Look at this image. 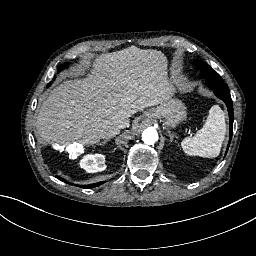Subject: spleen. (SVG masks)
I'll return each mask as SVG.
<instances>
[{
  "label": "spleen",
  "mask_w": 256,
  "mask_h": 256,
  "mask_svg": "<svg viewBox=\"0 0 256 256\" xmlns=\"http://www.w3.org/2000/svg\"><path fill=\"white\" fill-rule=\"evenodd\" d=\"M225 134L224 112L218 105H214L211 107L203 127L193 137L184 138L181 146L189 156L215 158L220 154Z\"/></svg>",
  "instance_id": "3e777b00"
}]
</instances>
